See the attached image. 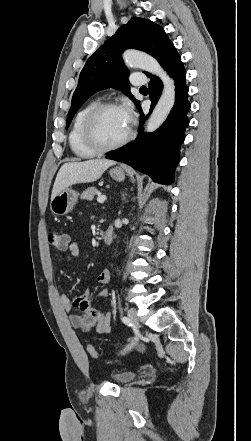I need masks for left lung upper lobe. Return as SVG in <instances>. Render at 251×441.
Returning <instances> with one entry per match:
<instances>
[{
	"mask_svg": "<svg viewBox=\"0 0 251 441\" xmlns=\"http://www.w3.org/2000/svg\"><path fill=\"white\" fill-rule=\"evenodd\" d=\"M173 46L162 27L150 20L131 18L87 60L73 94L66 128L82 104L91 95L106 88L122 89L137 106L139 105L128 86V70L121 57L125 49L145 51L162 64ZM145 73L148 77L152 76Z\"/></svg>",
	"mask_w": 251,
	"mask_h": 441,
	"instance_id": "5c2ea615",
	"label": "left lung upper lobe"
}]
</instances>
